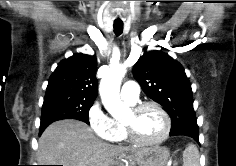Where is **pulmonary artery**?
Returning a JSON list of instances; mask_svg holds the SVG:
<instances>
[{
  "mask_svg": "<svg viewBox=\"0 0 236 166\" xmlns=\"http://www.w3.org/2000/svg\"><path fill=\"white\" fill-rule=\"evenodd\" d=\"M120 95L125 101L135 103L139 98V84L136 81L126 82L121 89Z\"/></svg>",
  "mask_w": 236,
  "mask_h": 166,
  "instance_id": "1",
  "label": "pulmonary artery"
}]
</instances>
